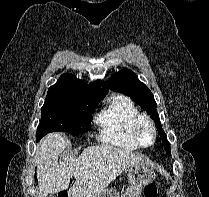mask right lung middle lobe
<instances>
[{
	"instance_id": "right-lung-middle-lobe-1",
	"label": "right lung middle lobe",
	"mask_w": 209,
	"mask_h": 197,
	"mask_svg": "<svg viewBox=\"0 0 209 197\" xmlns=\"http://www.w3.org/2000/svg\"><path fill=\"white\" fill-rule=\"evenodd\" d=\"M100 100L78 88L50 87L42 106L37 140L53 131L70 134L87 132L92 113Z\"/></svg>"
}]
</instances>
